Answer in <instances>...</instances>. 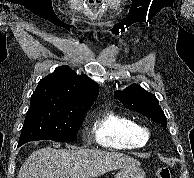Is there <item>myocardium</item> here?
Returning <instances> with one entry per match:
<instances>
[{"mask_svg": "<svg viewBox=\"0 0 194 178\" xmlns=\"http://www.w3.org/2000/svg\"><path fill=\"white\" fill-rule=\"evenodd\" d=\"M138 133L141 138L147 141L151 136V129L148 126L140 125L138 126Z\"/></svg>", "mask_w": 194, "mask_h": 178, "instance_id": "myocardium-1", "label": "myocardium"}]
</instances>
